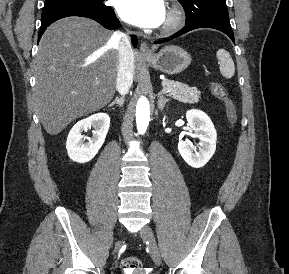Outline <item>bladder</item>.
I'll return each mask as SVG.
<instances>
[{
    "label": "bladder",
    "instance_id": "31cf9c89",
    "mask_svg": "<svg viewBox=\"0 0 289 274\" xmlns=\"http://www.w3.org/2000/svg\"><path fill=\"white\" fill-rule=\"evenodd\" d=\"M129 274H139V273H137V272H133V273H129Z\"/></svg>",
    "mask_w": 289,
    "mask_h": 274
}]
</instances>
